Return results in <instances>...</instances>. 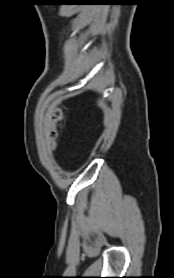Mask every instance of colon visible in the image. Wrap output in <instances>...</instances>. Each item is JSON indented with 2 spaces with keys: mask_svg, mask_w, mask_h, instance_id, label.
<instances>
[{
  "mask_svg": "<svg viewBox=\"0 0 174 278\" xmlns=\"http://www.w3.org/2000/svg\"><path fill=\"white\" fill-rule=\"evenodd\" d=\"M62 119L63 113L60 110H56L51 114L49 128V136L51 140H55L57 138L59 125Z\"/></svg>",
  "mask_w": 174,
  "mask_h": 278,
  "instance_id": "colon-1",
  "label": "colon"
}]
</instances>
